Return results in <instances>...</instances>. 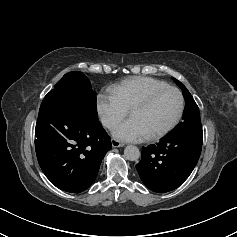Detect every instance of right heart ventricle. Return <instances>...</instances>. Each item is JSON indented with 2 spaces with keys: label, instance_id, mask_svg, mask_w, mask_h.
<instances>
[{
  "label": "right heart ventricle",
  "instance_id": "e07e8e85",
  "mask_svg": "<svg viewBox=\"0 0 237 237\" xmlns=\"http://www.w3.org/2000/svg\"><path fill=\"white\" fill-rule=\"evenodd\" d=\"M166 85L165 82L151 77H132L112 86L110 89L119 97L123 106L128 110L148 92Z\"/></svg>",
  "mask_w": 237,
  "mask_h": 237
}]
</instances>
